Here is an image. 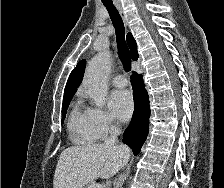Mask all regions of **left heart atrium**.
<instances>
[{
	"mask_svg": "<svg viewBox=\"0 0 224 188\" xmlns=\"http://www.w3.org/2000/svg\"><path fill=\"white\" fill-rule=\"evenodd\" d=\"M113 115L122 122H127L133 112V99L129 91L116 90L112 92L109 100Z\"/></svg>",
	"mask_w": 224,
	"mask_h": 188,
	"instance_id": "1",
	"label": "left heart atrium"
}]
</instances>
